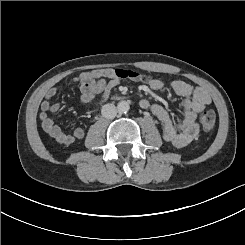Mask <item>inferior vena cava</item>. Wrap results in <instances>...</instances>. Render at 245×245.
Wrapping results in <instances>:
<instances>
[{
    "instance_id": "inferior-vena-cava-1",
    "label": "inferior vena cava",
    "mask_w": 245,
    "mask_h": 245,
    "mask_svg": "<svg viewBox=\"0 0 245 245\" xmlns=\"http://www.w3.org/2000/svg\"><path fill=\"white\" fill-rule=\"evenodd\" d=\"M102 116L106 119H113L117 115V108L113 104H105L101 110Z\"/></svg>"
}]
</instances>
